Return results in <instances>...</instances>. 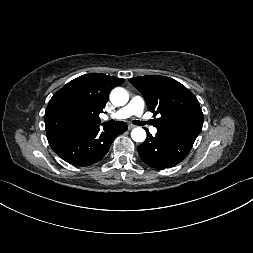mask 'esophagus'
I'll use <instances>...</instances> for the list:
<instances>
[{"label": "esophagus", "instance_id": "34e87169", "mask_svg": "<svg viewBox=\"0 0 253 253\" xmlns=\"http://www.w3.org/2000/svg\"><path fill=\"white\" fill-rule=\"evenodd\" d=\"M135 127H136V126L133 125V124H131V123L128 124V129H129V130H131V129L135 128Z\"/></svg>", "mask_w": 253, "mask_h": 253}]
</instances>
